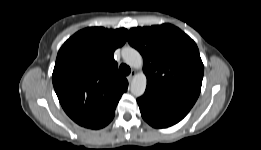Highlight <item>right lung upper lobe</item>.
I'll use <instances>...</instances> for the list:
<instances>
[{
	"mask_svg": "<svg viewBox=\"0 0 261 150\" xmlns=\"http://www.w3.org/2000/svg\"><path fill=\"white\" fill-rule=\"evenodd\" d=\"M127 29L89 27L60 48L52 81L58 99L77 124L92 127L115 110L128 81L113 58L126 42Z\"/></svg>",
	"mask_w": 261,
	"mask_h": 150,
	"instance_id": "obj_1",
	"label": "right lung upper lobe"
}]
</instances>
